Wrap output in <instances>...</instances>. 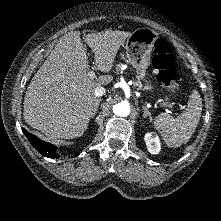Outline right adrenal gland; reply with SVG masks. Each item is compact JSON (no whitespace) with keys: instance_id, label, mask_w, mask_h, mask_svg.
Wrapping results in <instances>:
<instances>
[{"instance_id":"2a0ac1e0","label":"right adrenal gland","mask_w":221,"mask_h":221,"mask_svg":"<svg viewBox=\"0 0 221 221\" xmlns=\"http://www.w3.org/2000/svg\"><path fill=\"white\" fill-rule=\"evenodd\" d=\"M100 101H101V99H97V106H96L95 111H94L93 114H92V117L95 116V114H96V112H97V110H98V106H99Z\"/></svg>"}]
</instances>
